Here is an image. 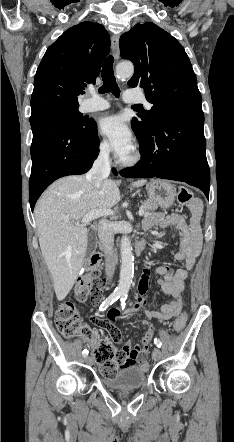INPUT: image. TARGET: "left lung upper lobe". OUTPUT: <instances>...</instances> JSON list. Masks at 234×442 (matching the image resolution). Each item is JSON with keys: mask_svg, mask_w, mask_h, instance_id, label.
<instances>
[{"mask_svg": "<svg viewBox=\"0 0 234 442\" xmlns=\"http://www.w3.org/2000/svg\"><path fill=\"white\" fill-rule=\"evenodd\" d=\"M123 59L131 60L135 71L131 87L144 89L153 104L145 115L133 117L131 127L139 142L153 132L155 125L184 110L202 109L196 75L182 45L151 22L136 24L120 37Z\"/></svg>", "mask_w": 234, "mask_h": 442, "instance_id": "5c2ea615", "label": "left lung upper lobe"}]
</instances>
